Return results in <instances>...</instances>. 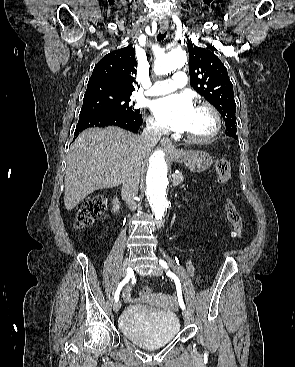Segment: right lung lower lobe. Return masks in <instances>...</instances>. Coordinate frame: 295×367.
<instances>
[{"label": "right lung lower lobe", "instance_id": "obj_1", "mask_svg": "<svg viewBox=\"0 0 295 367\" xmlns=\"http://www.w3.org/2000/svg\"><path fill=\"white\" fill-rule=\"evenodd\" d=\"M143 122L142 115L137 114H87L79 116L74 139L84 129L91 127L119 126L137 133Z\"/></svg>", "mask_w": 295, "mask_h": 367}]
</instances>
